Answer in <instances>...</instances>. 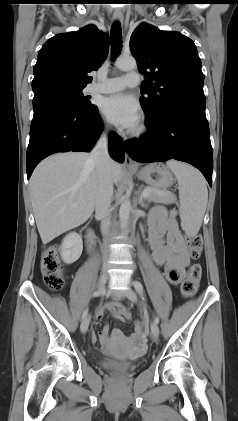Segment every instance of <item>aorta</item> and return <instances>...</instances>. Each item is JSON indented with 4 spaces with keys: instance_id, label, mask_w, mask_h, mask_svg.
I'll use <instances>...</instances> for the list:
<instances>
[{
    "instance_id": "1",
    "label": "aorta",
    "mask_w": 238,
    "mask_h": 421,
    "mask_svg": "<svg viewBox=\"0 0 238 421\" xmlns=\"http://www.w3.org/2000/svg\"><path fill=\"white\" fill-rule=\"evenodd\" d=\"M115 66L122 71H129L137 68L136 60L133 57L127 58H118L115 62ZM131 210V203L127 196L123 197V201L121 203L119 209V219L121 223V228L125 231L127 228V223L130 216Z\"/></svg>"
}]
</instances>
